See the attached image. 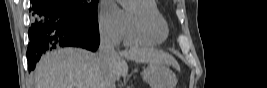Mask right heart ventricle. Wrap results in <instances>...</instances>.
Wrapping results in <instances>:
<instances>
[{
  "mask_svg": "<svg viewBox=\"0 0 267 88\" xmlns=\"http://www.w3.org/2000/svg\"><path fill=\"white\" fill-rule=\"evenodd\" d=\"M131 7H138L143 13L150 17L154 28L149 31H142L135 28L129 21V9L124 11L125 18V43L128 46H155L163 43L168 34L167 22L161 14L155 0H135Z\"/></svg>",
  "mask_w": 267,
  "mask_h": 88,
  "instance_id": "1",
  "label": "right heart ventricle"
}]
</instances>
